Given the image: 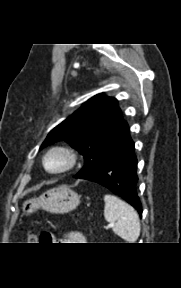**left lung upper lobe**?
<instances>
[{
	"mask_svg": "<svg viewBox=\"0 0 181 288\" xmlns=\"http://www.w3.org/2000/svg\"><path fill=\"white\" fill-rule=\"evenodd\" d=\"M98 94L50 131L41 148L60 140L83 154L84 167L75 176L88 175L123 137L127 122L115 98Z\"/></svg>",
	"mask_w": 181,
	"mask_h": 288,
	"instance_id": "left-lung-upper-lobe-1",
	"label": "left lung upper lobe"
}]
</instances>
